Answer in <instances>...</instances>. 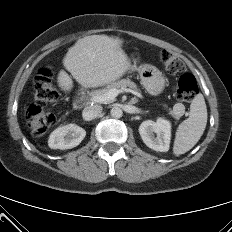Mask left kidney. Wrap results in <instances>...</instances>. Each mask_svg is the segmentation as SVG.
Here are the masks:
<instances>
[{"label":"left kidney","mask_w":232,"mask_h":232,"mask_svg":"<svg viewBox=\"0 0 232 232\" xmlns=\"http://www.w3.org/2000/svg\"><path fill=\"white\" fill-rule=\"evenodd\" d=\"M139 133L149 148L159 152L169 150L171 123L168 120L163 118H158L156 122L146 120L139 126Z\"/></svg>","instance_id":"left-kidney-1"}]
</instances>
